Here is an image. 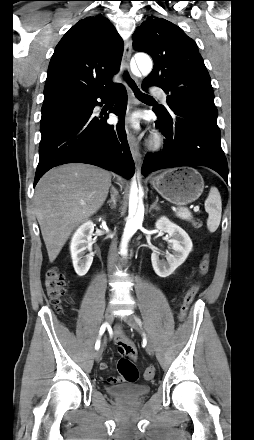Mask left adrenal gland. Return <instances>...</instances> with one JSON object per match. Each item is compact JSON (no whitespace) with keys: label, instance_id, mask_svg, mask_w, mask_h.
Returning <instances> with one entry per match:
<instances>
[{"label":"left adrenal gland","instance_id":"1","mask_svg":"<svg viewBox=\"0 0 254 440\" xmlns=\"http://www.w3.org/2000/svg\"><path fill=\"white\" fill-rule=\"evenodd\" d=\"M158 196L156 197V200L153 202V204L150 206L149 212H151L153 209H155L156 211H158L160 209V207L158 206Z\"/></svg>","mask_w":254,"mask_h":440}]
</instances>
